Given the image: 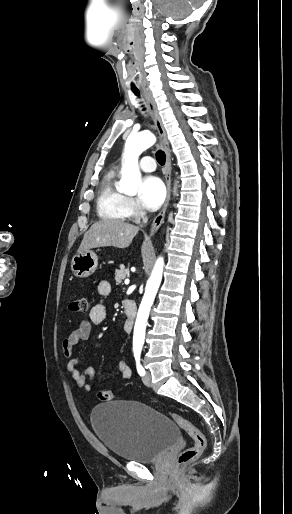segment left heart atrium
Returning <instances> with one entry per match:
<instances>
[{
    "mask_svg": "<svg viewBox=\"0 0 292 514\" xmlns=\"http://www.w3.org/2000/svg\"><path fill=\"white\" fill-rule=\"evenodd\" d=\"M165 197V186L162 180L154 175L142 179L137 196L141 208L154 211L162 204Z\"/></svg>",
    "mask_w": 292,
    "mask_h": 514,
    "instance_id": "1",
    "label": "left heart atrium"
}]
</instances>
